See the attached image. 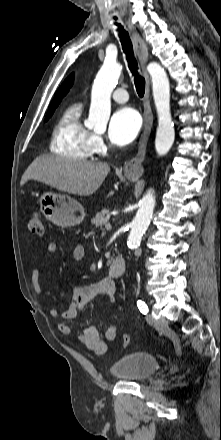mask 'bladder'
I'll list each match as a JSON object with an SVG mask.
<instances>
[{
    "label": "bladder",
    "mask_w": 221,
    "mask_h": 440,
    "mask_svg": "<svg viewBox=\"0 0 221 440\" xmlns=\"http://www.w3.org/2000/svg\"><path fill=\"white\" fill-rule=\"evenodd\" d=\"M158 367L154 356L137 351L121 356L110 366L109 372L118 380L140 382L153 375Z\"/></svg>",
    "instance_id": "bladder-1"
}]
</instances>
